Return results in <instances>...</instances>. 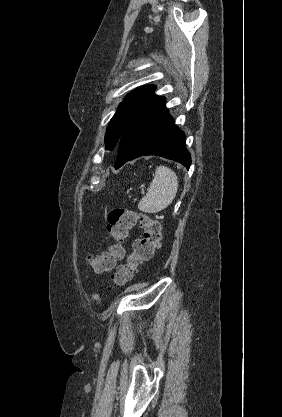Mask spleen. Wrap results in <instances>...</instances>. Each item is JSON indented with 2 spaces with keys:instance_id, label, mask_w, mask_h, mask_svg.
<instances>
[{
  "instance_id": "3e777b00",
  "label": "spleen",
  "mask_w": 282,
  "mask_h": 417,
  "mask_svg": "<svg viewBox=\"0 0 282 417\" xmlns=\"http://www.w3.org/2000/svg\"><path fill=\"white\" fill-rule=\"evenodd\" d=\"M178 190V176L168 166H157L152 182L147 188L146 196L138 202V209L143 213H159L167 209Z\"/></svg>"
}]
</instances>
